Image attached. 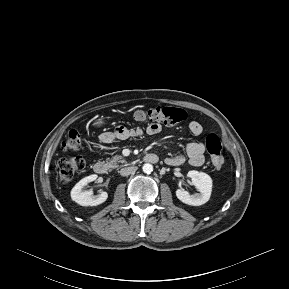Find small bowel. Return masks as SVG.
Masks as SVG:
<instances>
[{"label":"small bowel","mask_w":289,"mask_h":289,"mask_svg":"<svg viewBox=\"0 0 289 289\" xmlns=\"http://www.w3.org/2000/svg\"><path fill=\"white\" fill-rule=\"evenodd\" d=\"M161 125L158 123L148 124L145 128L128 129L124 126H118L113 131H107L99 136V141L102 144H109L115 140H126L132 137H138L143 134L155 135L161 131ZM189 131L193 136H202L203 127L197 121H191L189 123ZM206 143L204 137L200 140L188 143L185 146V152L188 157L189 163L193 166L199 167L204 163V152ZM183 155H176L166 158V163L171 166H177L183 163Z\"/></svg>","instance_id":"1"}]
</instances>
